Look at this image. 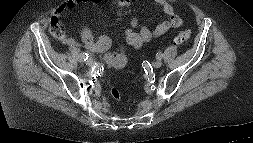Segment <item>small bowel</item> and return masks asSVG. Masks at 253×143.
I'll list each match as a JSON object with an SVG mask.
<instances>
[{"label": "small bowel", "instance_id": "1", "mask_svg": "<svg viewBox=\"0 0 253 143\" xmlns=\"http://www.w3.org/2000/svg\"><path fill=\"white\" fill-rule=\"evenodd\" d=\"M102 1L103 0H67L56 10L55 15L60 16L63 12L80 4H97ZM138 1L139 0H112V3L126 7ZM154 2L162 8V11L167 19L159 23L154 30H150L146 26L142 25L136 18L131 19L129 28L125 30V40L126 43L133 49H138L143 43L148 42L155 37H160L169 30L178 28L183 24L182 18L175 13L172 4L168 0H154ZM80 36L85 48L93 53L104 52L111 44L108 37H95L92 31L86 26L81 28ZM64 42L69 45L76 44L75 39L72 37L65 38ZM110 57L127 61L129 52L126 50L121 51L111 55ZM111 64L120 67L115 63Z\"/></svg>", "mask_w": 253, "mask_h": 143}]
</instances>
